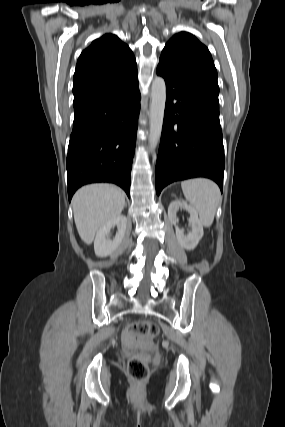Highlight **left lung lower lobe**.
I'll list each match as a JSON object with an SVG mask.
<instances>
[{
    "instance_id": "left-lung-lower-lobe-1",
    "label": "left lung lower lobe",
    "mask_w": 285,
    "mask_h": 427,
    "mask_svg": "<svg viewBox=\"0 0 285 427\" xmlns=\"http://www.w3.org/2000/svg\"><path fill=\"white\" fill-rule=\"evenodd\" d=\"M166 105L155 180L156 193L168 184L193 177L214 180L223 190L225 167L218 95L160 63Z\"/></svg>"
}]
</instances>
